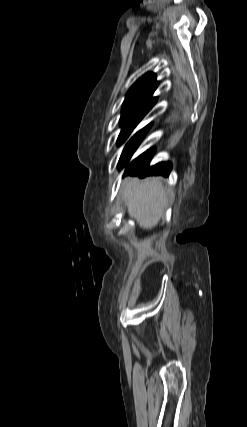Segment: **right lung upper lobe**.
I'll return each instance as SVG.
<instances>
[{"label": "right lung upper lobe", "mask_w": 247, "mask_h": 427, "mask_svg": "<svg viewBox=\"0 0 247 427\" xmlns=\"http://www.w3.org/2000/svg\"><path fill=\"white\" fill-rule=\"evenodd\" d=\"M158 86L154 73H147L129 89L123 103L122 114L148 113L156 98L152 97Z\"/></svg>", "instance_id": "cb5924a9"}]
</instances>
